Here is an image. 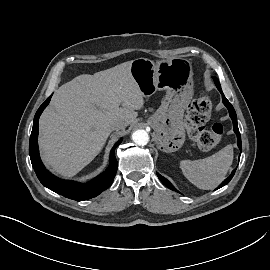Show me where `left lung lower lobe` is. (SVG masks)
I'll return each mask as SVG.
<instances>
[{
  "mask_svg": "<svg viewBox=\"0 0 270 270\" xmlns=\"http://www.w3.org/2000/svg\"><path fill=\"white\" fill-rule=\"evenodd\" d=\"M219 91H220L221 94H222V100H223L224 105H225V106L228 108V110H229L230 117H231V119H232V121H233L234 132H235L236 135H237V145H238L239 149H241V147H242V145H241V136H240V132H239V129H238L236 112H235L233 106L231 105V103L225 98V96H224L222 90H219ZM235 171H236V169H234V170L232 171L231 175H230L227 179H225L224 182H222L218 188H221V187L225 186L226 184H228V183L230 182V180L232 179L233 175L235 174ZM157 176L159 177V179L161 180V182H162L164 185H166L169 189L174 190V191H177V190L175 189V187H174L167 179H165L164 177H162V176H161L160 174H158V173H157ZM218 188H217V189H218Z\"/></svg>",
  "mask_w": 270,
  "mask_h": 270,
  "instance_id": "obj_1",
  "label": "left lung lower lobe"
}]
</instances>
